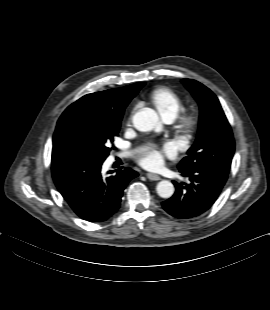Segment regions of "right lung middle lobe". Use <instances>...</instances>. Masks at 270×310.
<instances>
[{
    "instance_id": "1",
    "label": "right lung middle lobe",
    "mask_w": 270,
    "mask_h": 310,
    "mask_svg": "<svg viewBox=\"0 0 270 310\" xmlns=\"http://www.w3.org/2000/svg\"><path fill=\"white\" fill-rule=\"evenodd\" d=\"M119 129V122L109 119L94 105H74L61 118L60 148L67 158L104 162Z\"/></svg>"
}]
</instances>
